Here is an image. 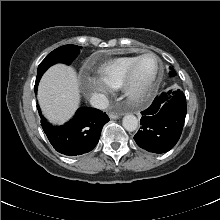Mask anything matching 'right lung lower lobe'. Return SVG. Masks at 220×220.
<instances>
[{"mask_svg": "<svg viewBox=\"0 0 220 220\" xmlns=\"http://www.w3.org/2000/svg\"><path fill=\"white\" fill-rule=\"evenodd\" d=\"M39 80L36 79L35 91H37ZM37 108L42 128L50 143L56 151L68 156H76L93 150L99 141L103 126L109 121V117L102 111L91 107H81L71 121L61 127H55L42 116L39 106Z\"/></svg>", "mask_w": 220, "mask_h": 220, "instance_id": "1", "label": "right lung lower lobe"}]
</instances>
